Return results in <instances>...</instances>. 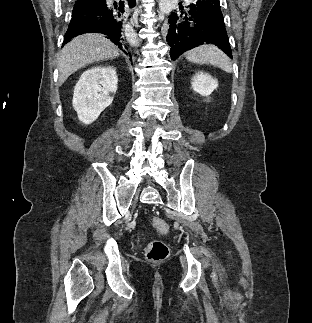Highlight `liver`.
<instances>
[{"label": "liver", "instance_id": "obj_1", "mask_svg": "<svg viewBox=\"0 0 312 323\" xmlns=\"http://www.w3.org/2000/svg\"><path fill=\"white\" fill-rule=\"evenodd\" d=\"M116 56H120L119 48L104 38L103 34H83L73 38L64 46L58 58L59 86L80 68Z\"/></svg>", "mask_w": 312, "mask_h": 323}]
</instances>
